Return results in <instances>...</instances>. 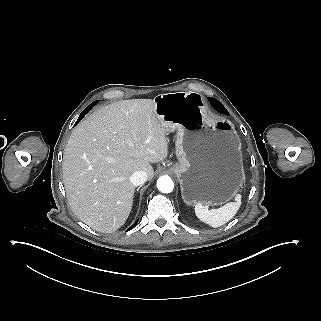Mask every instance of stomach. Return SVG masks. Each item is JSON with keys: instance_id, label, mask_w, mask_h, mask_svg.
I'll return each instance as SVG.
<instances>
[{"instance_id": "1", "label": "stomach", "mask_w": 321, "mask_h": 321, "mask_svg": "<svg viewBox=\"0 0 321 321\" xmlns=\"http://www.w3.org/2000/svg\"><path fill=\"white\" fill-rule=\"evenodd\" d=\"M155 113L167 132L176 133L178 162L172 167L185 205L220 206L240 190L244 180L241 140L225 118L207 120L197 92L157 95Z\"/></svg>"}]
</instances>
